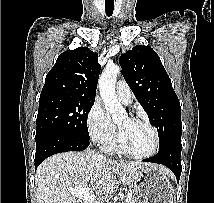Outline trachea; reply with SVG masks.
Returning <instances> with one entry per match:
<instances>
[{
	"label": "trachea",
	"mask_w": 214,
	"mask_h": 203,
	"mask_svg": "<svg viewBox=\"0 0 214 203\" xmlns=\"http://www.w3.org/2000/svg\"><path fill=\"white\" fill-rule=\"evenodd\" d=\"M113 10H114V4H105V11H106V15L108 17H110L113 14Z\"/></svg>",
	"instance_id": "1"
}]
</instances>
